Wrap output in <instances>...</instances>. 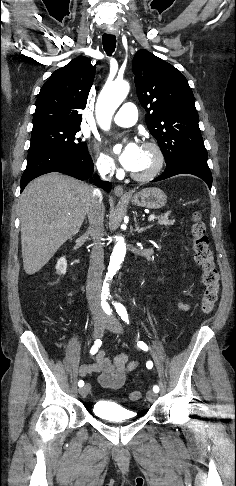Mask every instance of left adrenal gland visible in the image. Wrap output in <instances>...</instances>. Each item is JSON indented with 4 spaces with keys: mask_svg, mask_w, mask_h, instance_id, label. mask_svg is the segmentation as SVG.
<instances>
[{
    "mask_svg": "<svg viewBox=\"0 0 236 486\" xmlns=\"http://www.w3.org/2000/svg\"><path fill=\"white\" fill-rule=\"evenodd\" d=\"M151 227H152V225H148V226H146V227H141V228H139L138 223H137V221H136V219H135V230H136L138 233H142L143 231H146L147 229H150Z\"/></svg>",
    "mask_w": 236,
    "mask_h": 486,
    "instance_id": "left-adrenal-gland-1",
    "label": "left adrenal gland"
}]
</instances>
